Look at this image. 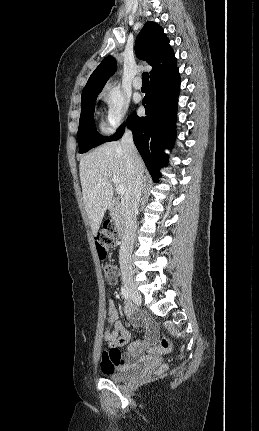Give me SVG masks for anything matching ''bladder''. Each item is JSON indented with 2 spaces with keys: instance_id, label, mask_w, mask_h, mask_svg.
<instances>
[{
  "instance_id": "obj_1",
  "label": "bladder",
  "mask_w": 259,
  "mask_h": 431,
  "mask_svg": "<svg viewBox=\"0 0 259 431\" xmlns=\"http://www.w3.org/2000/svg\"><path fill=\"white\" fill-rule=\"evenodd\" d=\"M138 365H128L123 367H118L112 371L106 372L105 377L114 382H121L139 371Z\"/></svg>"
}]
</instances>
